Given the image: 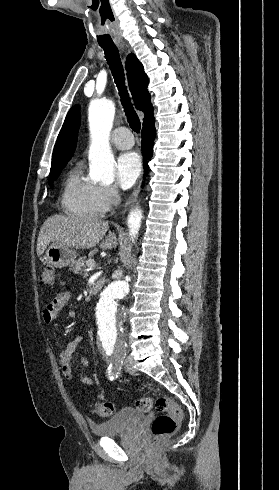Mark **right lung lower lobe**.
I'll return each instance as SVG.
<instances>
[{
	"instance_id": "98d812e1",
	"label": "right lung lower lobe",
	"mask_w": 279,
	"mask_h": 490,
	"mask_svg": "<svg viewBox=\"0 0 279 490\" xmlns=\"http://www.w3.org/2000/svg\"><path fill=\"white\" fill-rule=\"evenodd\" d=\"M155 128L154 126H147L142 129V144H141V149H142V155H143V162H144V169H146V174H147V160H150L152 157V152H153V144H154V138H155Z\"/></svg>"
}]
</instances>
